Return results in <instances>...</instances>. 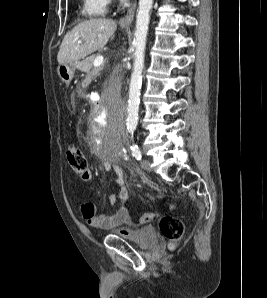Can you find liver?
<instances>
[{"instance_id": "obj_1", "label": "liver", "mask_w": 267, "mask_h": 298, "mask_svg": "<svg viewBox=\"0 0 267 298\" xmlns=\"http://www.w3.org/2000/svg\"><path fill=\"white\" fill-rule=\"evenodd\" d=\"M116 28V21L104 18L79 23L65 35L57 54L58 63L75 62L103 48L113 37ZM79 40L82 43H78Z\"/></svg>"}]
</instances>
